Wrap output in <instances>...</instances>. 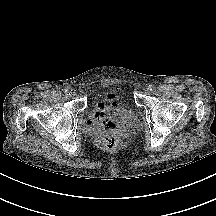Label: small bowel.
Instances as JSON below:
<instances>
[{
    "label": "small bowel",
    "instance_id": "1",
    "mask_svg": "<svg viewBox=\"0 0 216 216\" xmlns=\"http://www.w3.org/2000/svg\"><path fill=\"white\" fill-rule=\"evenodd\" d=\"M126 110L119 102V97L110 94L104 101L94 105L91 110L87 126L91 131L101 132L103 129H111L115 126L116 118Z\"/></svg>",
    "mask_w": 216,
    "mask_h": 216
}]
</instances>
